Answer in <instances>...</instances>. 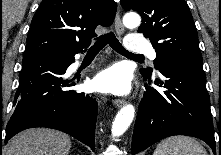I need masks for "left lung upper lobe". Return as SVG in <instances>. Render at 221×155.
<instances>
[{"mask_svg":"<svg viewBox=\"0 0 221 155\" xmlns=\"http://www.w3.org/2000/svg\"><path fill=\"white\" fill-rule=\"evenodd\" d=\"M125 10H136L142 17L138 28L156 51L155 67L169 59L202 62L195 24L185 0H121ZM150 73L152 69H141Z\"/></svg>","mask_w":221,"mask_h":155,"instance_id":"1","label":"left lung upper lobe"}]
</instances>
